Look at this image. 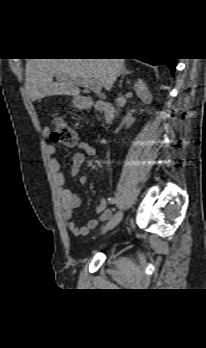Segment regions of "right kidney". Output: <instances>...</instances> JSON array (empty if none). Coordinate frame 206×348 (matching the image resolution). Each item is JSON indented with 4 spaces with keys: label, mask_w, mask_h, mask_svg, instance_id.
I'll return each mask as SVG.
<instances>
[{
    "label": "right kidney",
    "mask_w": 206,
    "mask_h": 348,
    "mask_svg": "<svg viewBox=\"0 0 206 348\" xmlns=\"http://www.w3.org/2000/svg\"><path fill=\"white\" fill-rule=\"evenodd\" d=\"M134 91L143 103L150 104L152 102V94L149 92L143 80L138 79V81L134 85ZM134 121L135 118H133L131 114L127 115L123 119V123L126 125V128H129L134 123Z\"/></svg>",
    "instance_id": "ca27d5eb"
}]
</instances>
